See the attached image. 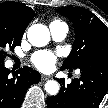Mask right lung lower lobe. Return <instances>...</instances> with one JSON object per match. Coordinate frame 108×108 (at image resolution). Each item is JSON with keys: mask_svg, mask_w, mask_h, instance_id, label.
Masks as SVG:
<instances>
[{"mask_svg": "<svg viewBox=\"0 0 108 108\" xmlns=\"http://www.w3.org/2000/svg\"><path fill=\"white\" fill-rule=\"evenodd\" d=\"M10 73L0 63V108H19L28 87L40 81V74L27 66Z\"/></svg>", "mask_w": 108, "mask_h": 108, "instance_id": "right-lung-lower-lobe-1", "label": "right lung lower lobe"}]
</instances>
